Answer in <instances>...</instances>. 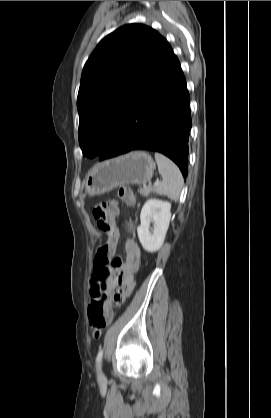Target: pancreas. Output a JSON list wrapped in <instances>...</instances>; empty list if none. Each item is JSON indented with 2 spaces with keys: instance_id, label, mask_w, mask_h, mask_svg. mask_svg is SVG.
I'll use <instances>...</instances> for the list:
<instances>
[{
  "instance_id": "pancreas-1",
  "label": "pancreas",
  "mask_w": 271,
  "mask_h": 418,
  "mask_svg": "<svg viewBox=\"0 0 271 418\" xmlns=\"http://www.w3.org/2000/svg\"><path fill=\"white\" fill-rule=\"evenodd\" d=\"M138 192L143 196H149L152 193H159L157 187L144 186L143 188L138 189Z\"/></svg>"
}]
</instances>
